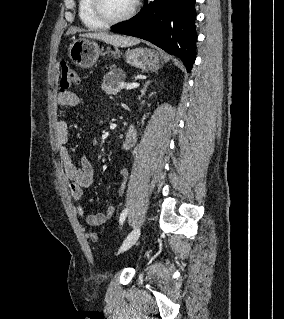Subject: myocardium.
I'll use <instances>...</instances> for the list:
<instances>
[{"label": "myocardium", "mask_w": 284, "mask_h": 319, "mask_svg": "<svg viewBox=\"0 0 284 319\" xmlns=\"http://www.w3.org/2000/svg\"><path fill=\"white\" fill-rule=\"evenodd\" d=\"M138 0H133L129 10L121 16L110 17L106 14L103 7V0H91V8L96 16L105 25H114L129 20L136 12Z\"/></svg>", "instance_id": "1"}]
</instances>
